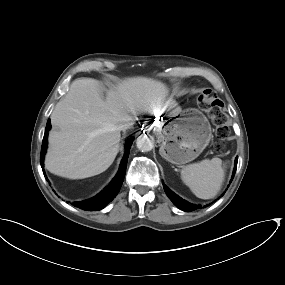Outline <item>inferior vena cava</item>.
<instances>
[{
    "label": "inferior vena cava",
    "instance_id": "1",
    "mask_svg": "<svg viewBox=\"0 0 285 285\" xmlns=\"http://www.w3.org/2000/svg\"><path fill=\"white\" fill-rule=\"evenodd\" d=\"M134 121L135 119L130 117L124 124L119 127V130L125 131L129 129L134 124Z\"/></svg>",
    "mask_w": 285,
    "mask_h": 285
}]
</instances>
